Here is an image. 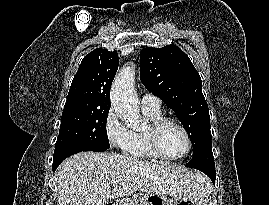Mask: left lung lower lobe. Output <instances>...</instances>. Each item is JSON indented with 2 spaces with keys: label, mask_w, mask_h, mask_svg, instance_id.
<instances>
[{
  "label": "left lung lower lobe",
  "mask_w": 269,
  "mask_h": 205,
  "mask_svg": "<svg viewBox=\"0 0 269 205\" xmlns=\"http://www.w3.org/2000/svg\"><path fill=\"white\" fill-rule=\"evenodd\" d=\"M185 166L204 172L215 184L216 171L212 153V144L207 145L196 154H193L192 159Z\"/></svg>",
  "instance_id": "1"
}]
</instances>
